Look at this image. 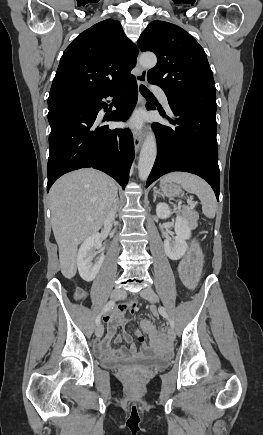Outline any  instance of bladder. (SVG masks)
<instances>
[{
  "instance_id": "obj_1",
  "label": "bladder",
  "mask_w": 263,
  "mask_h": 435,
  "mask_svg": "<svg viewBox=\"0 0 263 435\" xmlns=\"http://www.w3.org/2000/svg\"><path fill=\"white\" fill-rule=\"evenodd\" d=\"M166 358L161 357H146V358H140L134 361L131 360H107L105 361V366L108 368H116L120 367L126 363H137L142 366H148V367H161L164 366L167 363Z\"/></svg>"
}]
</instances>
